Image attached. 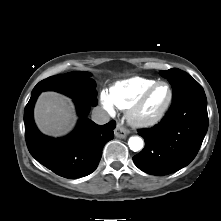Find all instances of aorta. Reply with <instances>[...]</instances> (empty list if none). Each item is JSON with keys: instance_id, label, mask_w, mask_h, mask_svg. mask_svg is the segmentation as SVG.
Returning a JSON list of instances; mask_svg holds the SVG:
<instances>
[{"instance_id": "aorta-1", "label": "aorta", "mask_w": 221, "mask_h": 221, "mask_svg": "<svg viewBox=\"0 0 221 221\" xmlns=\"http://www.w3.org/2000/svg\"><path fill=\"white\" fill-rule=\"evenodd\" d=\"M128 145L130 149L134 152L140 151L143 148V140L138 136H132L128 140Z\"/></svg>"}]
</instances>
